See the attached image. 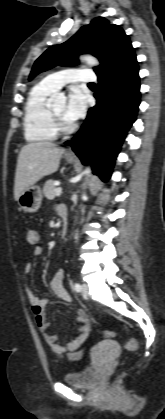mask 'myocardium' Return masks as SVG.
<instances>
[{
    "instance_id": "f54148a6",
    "label": "myocardium",
    "mask_w": 165,
    "mask_h": 419,
    "mask_svg": "<svg viewBox=\"0 0 165 419\" xmlns=\"http://www.w3.org/2000/svg\"><path fill=\"white\" fill-rule=\"evenodd\" d=\"M50 113L57 132H68L71 129L65 119L57 115L53 109H50Z\"/></svg>"
}]
</instances>
